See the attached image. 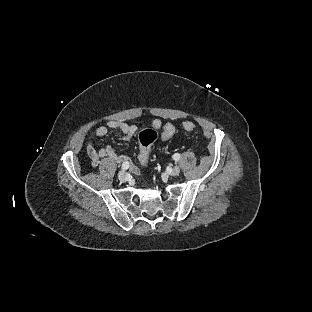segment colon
<instances>
[{
  "instance_id": "colon-1",
  "label": "colon",
  "mask_w": 312,
  "mask_h": 312,
  "mask_svg": "<svg viewBox=\"0 0 312 312\" xmlns=\"http://www.w3.org/2000/svg\"><path fill=\"white\" fill-rule=\"evenodd\" d=\"M158 124L153 125L152 128H148L145 131H143L139 136V160L141 164H146L149 160L150 156V148L152 143L157 138V131ZM196 125L193 122H187L184 124L183 129L185 132L190 133L193 130H195ZM174 130V127L170 123H166L163 125L160 134L164 138H168L171 136L172 132Z\"/></svg>"
}]
</instances>
